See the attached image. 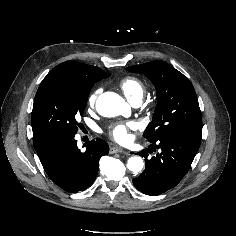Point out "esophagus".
I'll list each match as a JSON object with an SVG mask.
<instances>
[{"label":"esophagus","instance_id":"obj_1","mask_svg":"<svg viewBox=\"0 0 236 236\" xmlns=\"http://www.w3.org/2000/svg\"><path fill=\"white\" fill-rule=\"evenodd\" d=\"M109 153H110V154H114V153H125V150H123L122 148L113 146V147H110Z\"/></svg>","mask_w":236,"mask_h":236}]
</instances>
